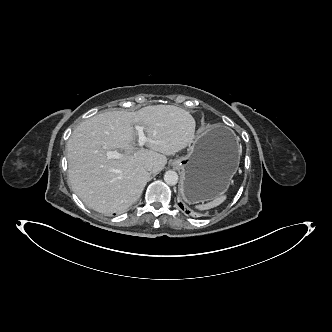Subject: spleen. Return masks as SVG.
<instances>
[{
	"instance_id": "obj_1",
	"label": "spleen",
	"mask_w": 332,
	"mask_h": 332,
	"mask_svg": "<svg viewBox=\"0 0 332 332\" xmlns=\"http://www.w3.org/2000/svg\"><path fill=\"white\" fill-rule=\"evenodd\" d=\"M225 199H226V195H222V196L212 200L209 203L197 205L196 208L199 210H209V209H212V208L220 205L222 202L225 201Z\"/></svg>"
}]
</instances>
